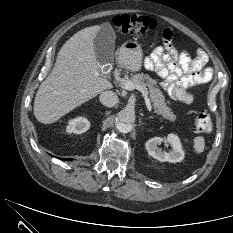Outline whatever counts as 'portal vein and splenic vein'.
I'll return each instance as SVG.
<instances>
[{"mask_svg": "<svg viewBox=\"0 0 233 233\" xmlns=\"http://www.w3.org/2000/svg\"><path fill=\"white\" fill-rule=\"evenodd\" d=\"M123 88L126 89V90H129V91L134 90V89L139 90L142 93V96H143V98L145 100V103H146L148 111H150V112L152 111L151 102H150V99L148 97V91H147V89L144 86H142V85H134L133 82L126 81L124 83Z\"/></svg>", "mask_w": 233, "mask_h": 233, "instance_id": "1", "label": "portal vein and splenic vein"}]
</instances>
